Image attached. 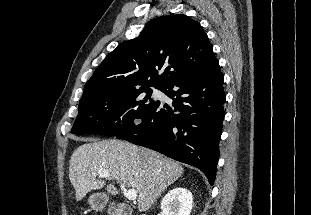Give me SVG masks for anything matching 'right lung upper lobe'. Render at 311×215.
<instances>
[{"label":"right lung upper lobe","instance_id":"obj_1","mask_svg":"<svg viewBox=\"0 0 311 215\" xmlns=\"http://www.w3.org/2000/svg\"><path fill=\"white\" fill-rule=\"evenodd\" d=\"M215 60L199 22L182 14L161 16L106 56L86 83L81 100L108 92L164 88Z\"/></svg>","mask_w":311,"mask_h":215}]
</instances>
